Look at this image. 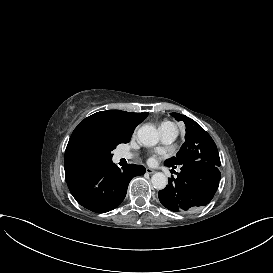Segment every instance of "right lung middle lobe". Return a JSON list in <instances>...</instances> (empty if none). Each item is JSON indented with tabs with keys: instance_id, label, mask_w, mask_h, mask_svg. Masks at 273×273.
Here are the masks:
<instances>
[{
	"instance_id": "obj_1",
	"label": "right lung middle lobe",
	"mask_w": 273,
	"mask_h": 273,
	"mask_svg": "<svg viewBox=\"0 0 273 273\" xmlns=\"http://www.w3.org/2000/svg\"><path fill=\"white\" fill-rule=\"evenodd\" d=\"M116 146L112 145L106 148H95L94 151L106 162H110L112 160L113 154H111V151L115 148Z\"/></svg>"
}]
</instances>
